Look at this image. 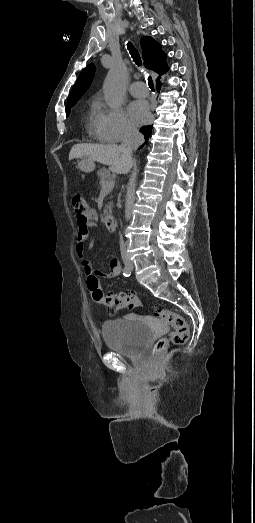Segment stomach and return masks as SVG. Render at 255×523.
I'll list each match as a JSON object with an SVG mask.
<instances>
[{"mask_svg":"<svg viewBox=\"0 0 255 523\" xmlns=\"http://www.w3.org/2000/svg\"><path fill=\"white\" fill-rule=\"evenodd\" d=\"M79 168L82 172H93L95 164L91 160H84V162H80Z\"/></svg>","mask_w":255,"mask_h":523,"instance_id":"stomach-1","label":"stomach"}]
</instances>
